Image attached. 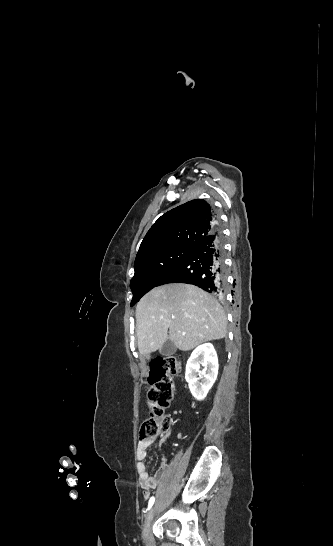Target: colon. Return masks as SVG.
I'll return each instance as SVG.
<instances>
[{"label": "colon", "instance_id": "5ec220e1", "mask_svg": "<svg viewBox=\"0 0 333 546\" xmlns=\"http://www.w3.org/2000/svg\"><path fill=\"white\" fill-rule=\"evenodd\" d=\"M180 370V363L175 357H163L155 360L150 368L148 382L149 413L141 428V439L151 441L157 436L166 435L172 424L166 409L174 397L173 376Z\"/></svg>", "mask_w": 333, "mask_h": 546}]
</instances>
